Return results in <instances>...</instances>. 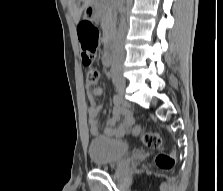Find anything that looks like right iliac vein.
<instances>
[{"instance_id":"obj_1","label":"right iliac vein","mask_w":223,"mask_h":191,"mask_svg":"<svg viewBox=\"0 0 223 191\" xmlns=\"http://www.w3.org/2000/svg\"><path fill=\"white\" fill-rule=\"evenodd\" d=\"M114 86L120 95H123L126 88V82L124 80H114Z\"/></svg>"}]
</instances>
